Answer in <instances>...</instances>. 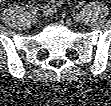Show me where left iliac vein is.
I'll use <instances>...</instances> for the list:
<instances>
[{
  "mask_svg": "<svg viewBox=\"0 0 111 106\" xmlns=\"http://www.w3.org/2000/svg\"><path fill=\"white\" fill-rule=\"evenodd\" d=\"M73 18H74L75 21L79 22L82 19V16L77 13V14L73 15Z\"/></svg>",
  "mask_w": 111,
  "mask_h": 106,
  "instance_id": "obj_1",
  "label": "left iliac vein"
}]
</instances>
